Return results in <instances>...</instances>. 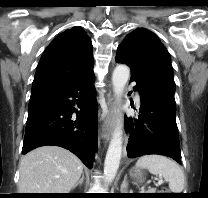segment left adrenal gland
I'll list each match as a JSON object with an SVG mask.
<instances>
[{"label":"left adrenal gland","instance_id":"left-adrenal-gland-1","mask_svg":"<svg viewBox=\"0 0 208 198\" xmlns=\"http://www.w3.org/2000/svg\"><path fill=\"white\" fill-rule=\"evenodd\" d=\"M121 193H128V181H127V175L124 176L123 182L120 187Z\"/></svg>","mask_w":208,"mask_h":198}]
</instances>
